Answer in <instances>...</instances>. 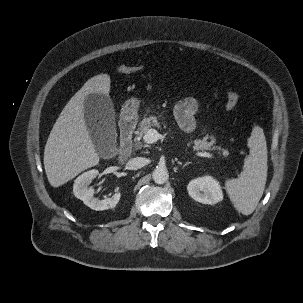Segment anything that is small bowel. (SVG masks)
I'll return each mask as SVG.
<instances>
[{
  "mask_svg": "<svg viewBox=\"0 0 303 303\" xmlns=\"http://www.w3.org/2000/svg\"><path fill=\"white\" fill-rule=\"evenodd\" d=\"M198 109V102L194 98H186L175 106L176 120L184 131L188 133L194 131L196 127L195 116Z\"/></svg>",
  "mask_w": 303,
  "mask_h": 303,
  "instance_id": "small-bowel-1",
  "label": "small bowel"
}]
</instances>
